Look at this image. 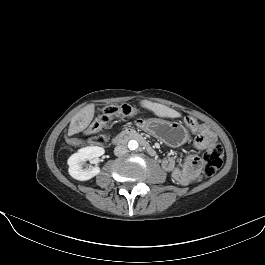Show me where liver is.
<instances>
[{"instance_id":"liver-1","label":"liver","mask_w":265,"mask_h":265,"mask_svg":"<svg viewBox=\"0 0 265 265\" xmlns=\"http://www.w3.org/2000/svg\"><path fill=\"white\" fill-rule=\"evenodd\" d=\"M140 105L143 108H146L152 111L156 116L162 118H178L180 117V113L174 109H171L165 105L159 103H153L148 100L140 101ZM95 107L93 104H89L82 108L78 113H76L70 122L68 135H74L79 132L84 131L88 125L91 123L94 117Z\"/></svg>"}]
</instances>
